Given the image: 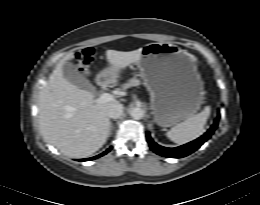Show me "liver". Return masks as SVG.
<instances>
[{"label": "liver", "instance_id": "liver-1", "mask_svg": "<svg viewBox=\"0 0 260 205\" xmlns=\"http://www.w3.org/2000/svg\"><path fill=\"white\" fill-rule=\"evenodd\" d=\"M106 57L110 65L111 82H114L122 69L140 59L141 48L129 52L107 50ZM72 58L71 53L60 60L40 91L39 124L45 140L61 153L84 158L105 144L110 126L107 111L119 101L114 99L98 104L92 93L67 81L62 67Z\"/></svg>", "mask_w": 260, "mask_h": 205}]
</instances>
